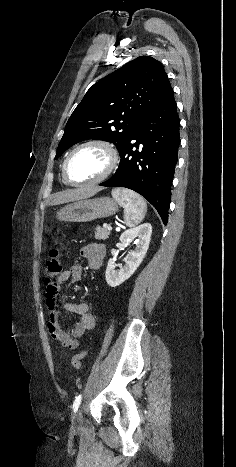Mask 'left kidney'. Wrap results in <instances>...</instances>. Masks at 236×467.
<instances>
[{"mask_svg": "<svg viewBox=\"0 0 236 467\" xmlns=\"http://www.w3.org/2000/svg\"><path fill=\"white\" fill-rule=\"evenodd\" d=\"M151 234L152 226L149 223L141 224L122 233L120 242L123 246L129 245L133 239L138 238V241L135 250L128 252L124 259L125 265L119 270L115 269L118 265L114 259L108 261L105 277L109 286L117 287L134 274L147 253Z\"/></svg>", "mask_w": 236, "mask_h": 467, "instance_id": "5707ae66", "label": "left kidney"}]
</instances>
